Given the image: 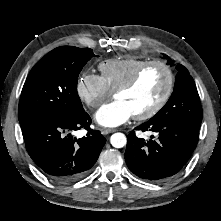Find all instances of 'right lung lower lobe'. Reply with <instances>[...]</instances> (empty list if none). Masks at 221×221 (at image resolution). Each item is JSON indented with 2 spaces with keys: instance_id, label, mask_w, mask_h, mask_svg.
<instances>
[{
  "instance_id": "obj_1",
  "label": "right lung lower lobe",
  "mask_w": 221,
  "mask_h": 221,
  "mask_svg": "<svg viewBox=\"0 0 221 221\" xmlns=\"http://www.w3.org/2000/svg\"><path fill=\"white\" fill-rule=\"evenodd\" d=\"M85 112L69 118H50L22 129L26 150L38 169L61 183L75 181L96 163L106 142L98 130H92ZM84 128L82 138L72 132Z\"/></svg>"
}]
</instances>
